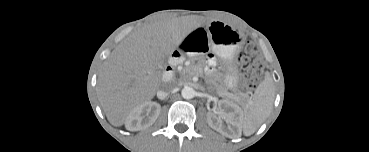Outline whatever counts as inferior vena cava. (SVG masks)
I'll return each mask as SVG.
<instances>
[{"label":"inferior vena cava","mask_w":369,"mask_h":152,"mask_svg":"<svg viewBox=\"0 0 369 152\" xmlns=\"http://www.w3.org/2000/svg\"><path fill=\"white\" fill-rule=\"evenodd\" d=\"M177 88V84L172 81H165L161 84L159 94L161 98H165L169 93Z\"/></svg>","instance_id":"inferior-vena-cava-1"}]
</instances>
